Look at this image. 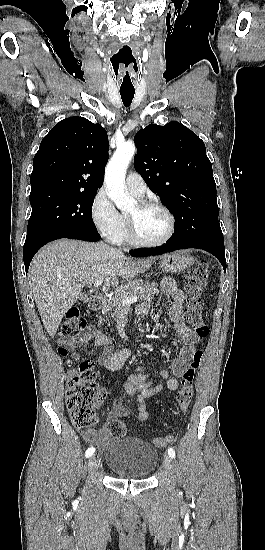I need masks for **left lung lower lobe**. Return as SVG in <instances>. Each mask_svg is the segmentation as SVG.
Returning <instances> with one entry per match:
<instances>
[{
    "mask_svg": "<svg viewBox=\"0 0 265 550\" xmlns=\"http://www.w3.org/2000/svg\"><path fill=\"white\" fill-rule=\"evenodd\" d=\"M186 248H197L205 250L211 254H213L222 264L224 271L226 272V260H225V250L220 249L217 247H214L209 244L204 243H198V242H179V243H173V242H167L165 245L161 247L156 248H148V249H138L135 251L130 252V255L133 257H146V256H154V255H161L164 253L172 252L179 249H186Z\"/></svg>",
    "mask_w": 265,
    "mask_h": 550,
    "instance_id": "obj_1",
    "label": "left lung lower lobe"
}]
</instances>
